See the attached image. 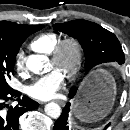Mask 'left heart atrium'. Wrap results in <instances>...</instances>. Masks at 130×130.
Returning <instances> with one entry per match:
<instances>
[{"label":"left heart atrium","mask_w":130,"mask_h":130,"mask_svg":"<svg viewBox=\"0 0 130 130\" xmlns=\"http://www.w3.org/2000/svg\"><path fill=\"white\" fill-rule=\"evenodd\" d=\"M64 76L62 72L55 69L48 74L37 78L27 88L29 96L38 100H49L56 96V93L62 88Z\"/></svg>","instance_id":"left-heart-atrium-1"}]
</instances>
